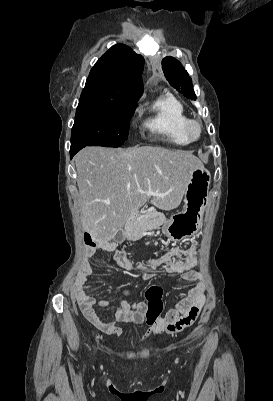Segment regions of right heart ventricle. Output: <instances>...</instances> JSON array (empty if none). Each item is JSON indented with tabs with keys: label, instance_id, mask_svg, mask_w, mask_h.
I'll return each mask as SVG.
<instances>
[{
	"label": "right heart ventricle",
	"instance_id": "obj_1",
	"mask_svg": "<svg viewBox=\"0 0 273 401\" xmlns=\"http://www.w3.org/2000/svg\"><path fill=\"white\" fill-rule=\"evenodd\" d=\"M149 117L144 126L154 135L177 146L190 142L183 133L185 123L190 119L185 105L175 96L165 94L155 99L148 107ZM139 111H142L140 108Z\"/></svg>",
	"mask_w": 273,
	"mask_h": 401
}]
</instances>
